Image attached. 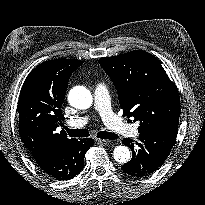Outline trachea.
Segmentation results:
<instances>
[{
	"instance_id": "3493384b",
	"label": "trachea",
	"mask_w": 205,
	"mask_h": 205,
	"mask_svg": "<svg viewBox=\"0 0 205 205\" xmlns=\"http://www.w3.org/2000/svg\"><path fill=\"white\" fill-rule=\"evenodd\" d=\"M64 129L67 131L70 137H88L89 132L87 129H69L67 127H64ZM97 137L101 139H117L118 135L111 133V132H106V131H100L97 133Z\"/></svg>"
}]
</instances>
